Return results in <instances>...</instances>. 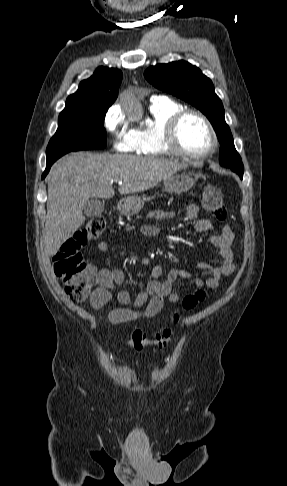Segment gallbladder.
Instances as JSON below:
<instances>
[{
	"label": "gallbladder",
	"instance_id": "obj_1",
	"mask_svg": "<svg viewBox=\"0 0 287 486\" xmlns=\"http://www.w3.org/2000/svg\"><path fill=\"white\" fill-rule=\"evenodd\" d=\"M104 211V203L98 198H90L83 208V213L87 217L99 216Z\"/></svg>",
	"mask_w": 287,
	"mask_h": 486
}]
</instances>
